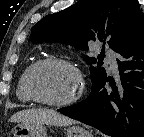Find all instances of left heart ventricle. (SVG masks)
<instances>
[{
  "instance_id": "b2bd125f",
  "label": "left heart ventricle",
  "mask_w": 144,
  "mask_h": 137,
  "mask_svg": "<svg viewBox=\"0 0 144 137\" xmlns=\"http://www.w3.org/2000/svg\"><path fill=\"white\" fill-rule=\"evenodd\" d=\"M33 86L38 95L51 101L71 98L78 89L76 74L64 66L47 65L34 75Z\"/></svg>"
}]
</instances>
